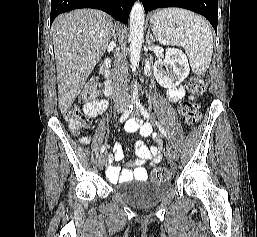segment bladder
Returning <instances> with one entry per match:
<instances>
[{"mask_svg":"<svg viewBox=\"0 0 257 237\" xmlns=\"http://www.w3.org/2000/svg\"><path fill=\"white\" fill-rule=\"evenodd\" d=\"M139 184V187H130L124 191H118L117 194L130 206L135 209L145 210L157 206L171 190L169 180L161 181H129ZM116 183V184H120Z\"/></svg>","mask_w":257,"mask_h":237,"instance_id":"1","label":"bladder"}]
</instances>
